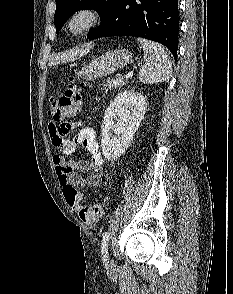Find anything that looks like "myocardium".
Masks as SVG:
<instances>
[{"instance_id":"1","label":"myocardium","mask_w":233,"mask_h":294,"mask_svg":"<svg viewBox=\"0 0 233 294\" xmlns=\"http://www.w3.org/2000/svg\"><path fill=\"white\" fill-rule=\"evenodd\" d=\"M99 11L91 6H83L70 13L66 20V29L72 35H82L90 31L99 21ZM77 21H83L80 28L75 27Z\"/></svg>"}]
</instances>
